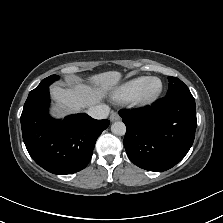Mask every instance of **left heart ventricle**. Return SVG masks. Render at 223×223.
Returning <instances> with one entry per match:
<instances>
[{
	"mask_svg": "<svg viewBox=\"0 0 223 223\" xmlns=\"http://www.w3.org/2000/svg\"><path fill=\"white\" fill-rule=\"evenodd\" d=\"M157 87H158V82L157 81H150V82L145 84L144 92L146 94H149V93L153 92L154 90H156Z\"/></svg>",
	"mask_w": 223,
	"mask_h": 223,
	"instance_id": "b2bd125f",
	"label": "left heart ventricle"
}]
</instances>
